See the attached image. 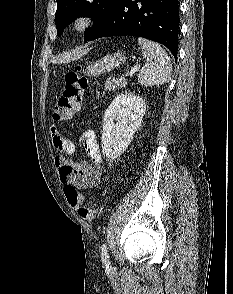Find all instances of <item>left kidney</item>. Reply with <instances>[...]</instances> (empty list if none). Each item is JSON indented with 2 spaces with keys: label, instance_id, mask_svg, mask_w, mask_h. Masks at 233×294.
Wrapping results in <instances>:
<instances>
[{
  "label": "left kidney",
  "instance_id": "1",
  "mask_svg": "<svg viewBox=\"0 0 233 294\" xmlns=\"http://www.w3.org/2000/svg\"><path fill=\"white\" fill-rule=\"evenodd\" d=\"M145 111L146 103L140 96L122 93L115 97L103 118L101 142L102 152L107 159L114 160L126 150Z\"/></svg>",
  "mask_w": 233,
  "mask_h": 294
}]
</instances>
